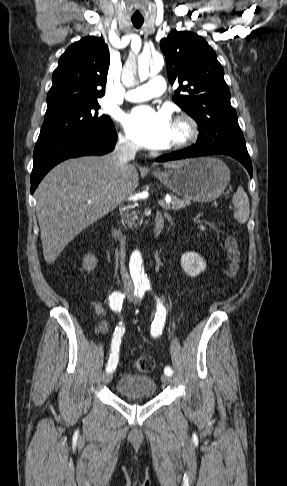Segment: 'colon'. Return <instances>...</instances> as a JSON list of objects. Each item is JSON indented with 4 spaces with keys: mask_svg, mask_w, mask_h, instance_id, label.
<instances>
[{
    "mask_svg": "<svg viewBox=\"0 0 287 486\" xmlns=\"http://www.w3.org/2000/svg\"><path fill=\"white\" fill-rule=\"evenodd\" d=\"M227 255L230 260L228 275L236 274L239 262V251L237 242L233 237L227 238L225 242ZM133 367L139 372H150L154 367V360L150 356H139L133 360Z\"/></svg>",
    "mask_w": 287,
    "mask_h": 486,
    "instance_id": "1",
    "label": "colon"
}]
</instances>
